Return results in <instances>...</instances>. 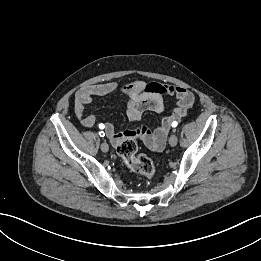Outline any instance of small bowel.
Here are the masks:
<instances>
[{"instance_id": "small-bowel-1", "label": "small bowel", "mask_w": 261, "mask_h": 261, "mask_svg": "<svg viewBox=\"0 0 261 261\" xmlns=\"http://www.w3.org/2000/svg\"><path fill=\"white\" fill-rule=\"evenodd\" d=\"M119 92L125 97L126 113L131 121H138L145 111L161 113L164 110V96L170 95L177 99L173 111L165 115L161 123L154 129L140 127L132 131L117 132L111 123L104 125V131L110 142L117 146L127 136H138L154 150L165 146L171 122L183 117L194 104V94L182 86L165 83H147L144 80L118 84L114 81L98 83L80 89L75 95V114L81 125L92 128L96 122L95 115H85L86 106L93 102L94 97Z\"/></svg>"}]
</instances>
